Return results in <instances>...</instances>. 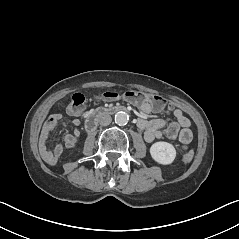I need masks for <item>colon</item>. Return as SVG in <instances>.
Wrapping results in <instances>:
<instances>
[{
  "instance_id": "obj_1",
  "label": "colon",
  "mask_w": 239,
  "mask_h": 239,
  "mask_svg": "<svg viewBox=\"0 0 239 239\" xmlns=\"http://www.w3.org/2000/svg\"><path fill=\"white\" fill-rule=\"evenodd\" d=\"M98 98L105 101L123 99L134 103L149 102L156 110H163L168 107L167 102L162 97L134 90H128L122 94L113 91H107L99 95ZM85 102L86 96L83 92L75 93L66 107L67 114L71 116H79L85 108ZM193 156V152L188 151L184 154L183 161L190 162L193 159Z\"/></svg>"
}]
</instances>
